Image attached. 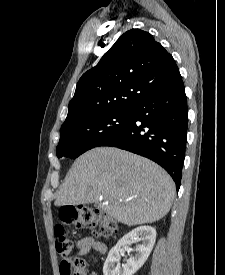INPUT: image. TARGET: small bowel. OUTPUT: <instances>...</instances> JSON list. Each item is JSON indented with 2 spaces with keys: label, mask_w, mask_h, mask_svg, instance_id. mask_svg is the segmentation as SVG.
Returning <instances> with one entry per match:
<instances>
[{
  "label": "small bowel",
  "mask_w": 225,
  "mask_h": 275,
  "mask_svg": "<svg viewBox=\"0 0 225 275\" xmlns=\"http://www.w3.org/2000/svg\"><path fill=\"white\" fill-rule=\"evenodd\" d=\"M77 252L71 256L72 259L79 258L85 256L91 252H96L98 254H105L107 251V247L104 243L95 240L92 237H84L80 239L77 244ZM91 275H97L96 273H92Z\"/></svg>",
  "instance_id": "1"
}]
</instances>
